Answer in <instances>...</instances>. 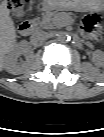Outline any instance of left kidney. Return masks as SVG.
Returning a JSON list of instances; mask_svg holds the SVG:
<instances>
[{
  "label": "left kidney",
  "mask_w": 104,
  "mask_h": 137,
  "mask_svg": "<svg viewBox=\"0 0 104 137\" xmlns=\"http://www.w3.org/2000/svg\"><path fill=\"white\" fill-rule=\"evenodd\" d=\"M104 55L102 51H95L93 55V61L99 65H103Z\"/></svg>",
  "instance_id": "1"
}]
</instances>
